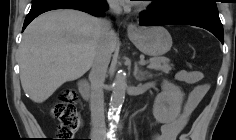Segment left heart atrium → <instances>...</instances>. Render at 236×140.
<instances>
[{"label": "left heart atrium", "instance_id": "left-heart-atrium-1", "mask_svg": "<svg viewBox=\"0 0 236 140\" xmlns=\"http://www.w3.org/2000/svg\"><path fill=\"white\" fill-rule=\"evenodd\" d=\"M122 2H129L128 0H122ZM131 2H137V1H131Z\"/></svg>", "mask_w": 236, "mask_h": 140}]
</instances>
